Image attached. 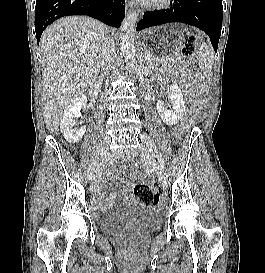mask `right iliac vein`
Listing matches in <instances>:
<instances>
[{"label":"right iliac vein","mask_w":265,"mask_h":273,"mask_svg":"<svg viewBox=\"0 0 265 273\" xmlns=\"http://www.w3.org/2000/svg\"><path fill=\"white\" fill-rule=\"evenodd\" d=\"M110 145V138L109 137H104L103 140L101 141L100 145L97 148V169L95 171L94 179L93 182L90 186V191L93 193L97 190L99 184H100V177L102 173V165L106 160L107 157V152L109 149Z\"/></svg>","instance_id":"obj_1"}]
</instances>
